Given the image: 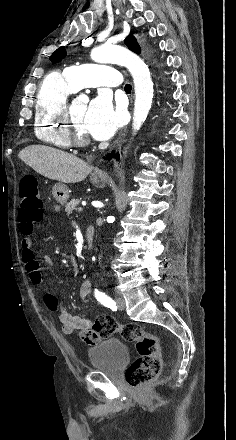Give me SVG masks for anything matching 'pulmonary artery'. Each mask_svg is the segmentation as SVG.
<instances>
[{
	"instance_id": "1",
	"label": "pulmonary artery",
	"mask_w": 236,
	"mask_h": 440,
	"mask_svg": "<svg viewBox=\"0 0 236 440\" xmlns=\"http://www.w3.org/2000/svg\"><path fill=\"white\" fill-rule=\"evenodd\" d=\"M64 75L75 90L83 87H123L120 72L109 65H73L65 69Z\"/></svg>"
}]
</instances>
